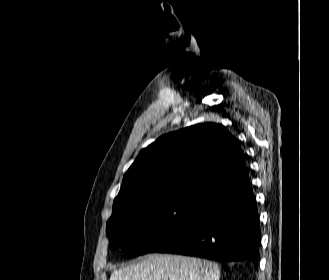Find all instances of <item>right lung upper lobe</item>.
Segmentation results:
<instances>
[{"label": "right lung upper lobe", "mask_w": 329, "mask_h": 280, "mask_svg": "<svg viewBox=\"0 0 329 280\" xmlns=\"http://www.w3.org/2000/svg\"><path fill=\"white\" fill-rule=\"evenodd\" d=\"M245 165L239 141L222 124L193 125L144 148L125 173L113 204L202 197L217 181Z\"/></svg>", "instance_id": "obj_1"}]
</instances>
